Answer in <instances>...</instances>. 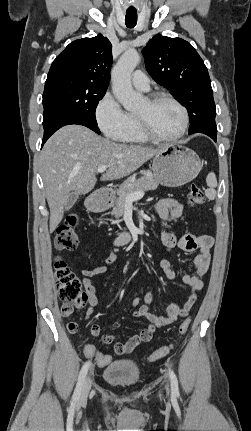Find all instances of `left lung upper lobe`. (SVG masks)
I'll use <instances>...</instances> for the list:
<instances>
[{
  "label": "left lung upper lobe",
  "instance_id": "left-lung-upper-lobe-1",
  "mask_svg": "<svg viewBox=\"0 0 251 431\" xmlns=\"http://www.w3.org/2000/svg\"><path fill=\"white\" fill-rule=\"evenodd\" d=\"M151 77L170 90L190 117L189 134L217 136L216 106L208 70L195 48L181 38L154 36L143 48Z\"/></svg>",
  "mask_w": 251,
  "mask_h": 431
}]
</instances>
